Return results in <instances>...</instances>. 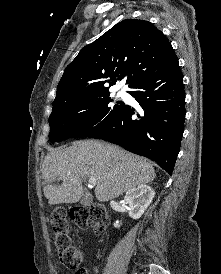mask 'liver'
<instances>
[{
  "instance_id": "1",
  "label": "liver",
  "mask_w": 221,
  "mask_h": 274,
  "mask_svg": "<svg viewBox=\"0 0 221 274\" xmlns=\"http://www.w3.org/2000/svg\"><path fill=\"white\" fill-rule=\"evenodd\" d=\"M87 177L96 179L95 196L106 202L152 182L156 174L146 159L118 146L98 140L76 141L70 147L51 150L44 159L43 191L48 203H76L83 196L82 180ZM57 180L62 184H53Z\"/></svg>"
}]
</instances>
